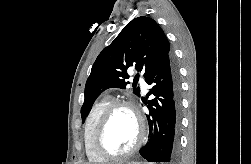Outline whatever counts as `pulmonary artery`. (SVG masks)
Wrapping results in <instances>:
<instances>
[{
  "mask_svg": "<svg viewBox=\"0 0 251 164\" xmlns=\"http://www.w3.org/2000/svg\"><path fill=\"white\" fill-rule=\"evenodd\" d=\"M141 87H142L144 92L147 91V84L143 80L141 81Z\"/></svg>",
  "mask_w": 251,
  "mask_h": 164,
  "instance_id": "e3ab8cb5",
  "label": "pulmonary artery"
}]
</instances>
